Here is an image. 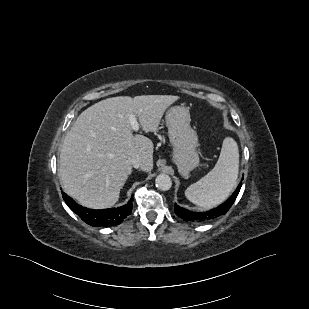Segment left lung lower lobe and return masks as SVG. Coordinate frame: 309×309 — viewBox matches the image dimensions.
I'll return each instance as SVG.
<instances>
[{
	"mask_svg": "<svg viewBox=\"0 0 309 309\" xmlns=\"http://www.w3.org/2000/svg\"><path fill=\"white\" fill-rule=\"evenodd\" d=\"M243 180V178H242ZM242 183H240L236 189V191L233 193V195L222 205H220L217 208H214L210 211L206 212H192L188 211L184 208H181L178 205H174L175 213L182 218L184 221L190 222V223H206L211 220H214L215 218L224 215L227 213V211L231 208L234 201L236 200L239 191L241 189Z\"/></svg>",
	"mask_w": 309,
	"mask_h": 309,
	"instance_id": "left-lung-lower-lobe-1",
	"label": "left lung lower lobe"
}]
</instances>
